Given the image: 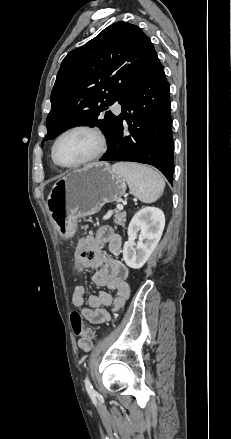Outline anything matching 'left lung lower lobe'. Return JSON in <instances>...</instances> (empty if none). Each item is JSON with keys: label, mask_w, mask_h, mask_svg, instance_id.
<instances>
[{"label": "left lung lower lobe", "mask_w": 231, "mask_h": 439, "mask_svg": "<svg viewBox=\"0 0 231 439\" xmlns=\"http://www.w3.org/2000/svg\"><path fill=\"white\" fill-rule=\"evenodd\" d=\"M102 161H131L159 169L173 185L174 156L169 83L153 48L128 90ZM128 124V133L124 130Z\"/></svg>", "instance_id": "0a47b994"}]
</instances>
